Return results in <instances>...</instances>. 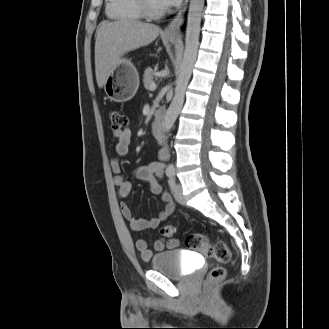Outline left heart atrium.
Returning <instances> with one entry per match:
<instances>
[{
  "label": "left heart atrium",
  "instance_id": "39dd6f15",
  "mask_svg": "<svg viewBox=\"0 0 329 329\" xmlns=\"http://www.w3.org/2000/svg\"><path fill=\"white\" fill-rule=\"evenodd\" d=\"M180 1L181 0H162L166 7L176 6L180 3Z\"/></svg>",
  "mask_w": 329,
  "mask_h": 329
}]
</instances>
